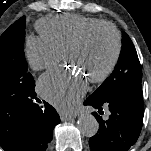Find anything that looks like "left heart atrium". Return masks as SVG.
Returning <instances> with one entry per match:
<instances>
[{
	"label": "left heart atrium",
	"instance_id": "39dd6f15",
	"mask_svg": "<svg viewBox=\"0 0 151 151\" xmlns=\"http://www.w3.org/2000/svg\"><path fill=\"white\" fill-rule=\"evenodd\" d=\"M88 80L77 71L55 68L42 75L40 93L61 111L71 110L87 90Z\"/></svg>",
	"mask_w": 151,
	"mask_h": 151
}]
</instances>
